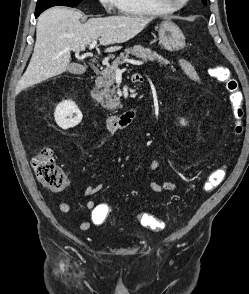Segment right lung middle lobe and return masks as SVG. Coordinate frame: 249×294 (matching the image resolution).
I'll return each instance as SVG.
<instances>
[{
    "mask_svg": "<svg viewBox=\"0 0 249 294\" xmlns=\"http://www.w3.org/2000/svg\"><path fill=\"white\" fill-rule=\"evenodd\" d=\"M82 0H38L36 5V11H44L49 7L56 5H64L74 7L78 5Z\"/></svg>",
    "mask_w": 249,
    "mask_h": 294,
    "instance_id": "dd1d6c3e",
    "label": "right lung middle lobe"
}]
</instances>
